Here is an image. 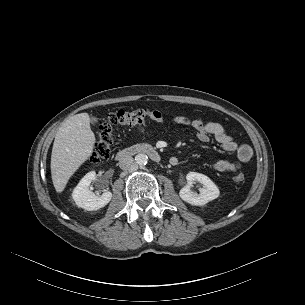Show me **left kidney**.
<instances>
[{
  "mask_svg": "<svg viewBox=\"0 0 305 305\" xmlns=\"http://www.w3.org/2000/svg\"><path fill=\"white\" fill-rule=\"evenodd\" d=\"M187 184L181 188L179 195L181 199L191 205L201 206L218 198L220 191L214 182L204 174L189 172L186 176ZM196 182L202 184L200 193L191 190Z\"/></svg>",
  "mask_w": 305,
  "mask_h": 305,
  "instance_id": "5707ae66",
  "label": "left kidney"
}]
</instances>
